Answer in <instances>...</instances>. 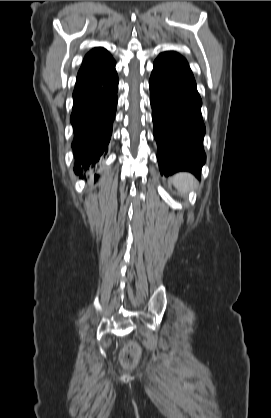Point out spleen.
<instances>
[{"mask_svg":"<svg viewBox=\"0 0 271 418\" xmlns=\"http://www.w3.org/2000/svg\"><path fill=\"white\" fill-rule=\"evenodd\" d=\"M171 181L182 195H187V193L197 185V181L194 176L187 172L175 174L172 176Z\"/></svg>","mask_w":271,"mask_h":418,"instance_id":"1","label":"spleen"}]
</instances>
